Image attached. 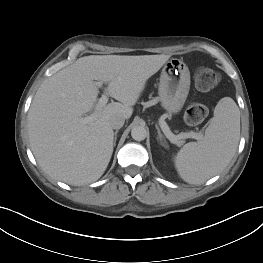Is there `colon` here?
I'll return each instance as SVG.
<instances>
[{
	"mask_svg": "<svg viewBox=\"0 0 263 263\" xmlns=\"http://www.w3.org/2000/svg\"><path fill=\"white\" fill-rule=\"evenodd\" d=\"M196 87L201 91H208L214 88L219 82V75L216 71L201 67L194 74ZM208 114L205 105L200 103L190 104L184 114L185 121L192 126L198 125L204 121Z\"/></svg>",
	"mask_w": 263,
	"mask_h": 263,
	"instance_id": "colon-1",
	"label": "colon"
}]
</instances>
